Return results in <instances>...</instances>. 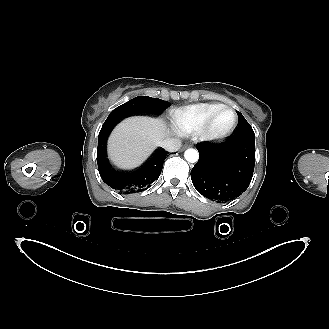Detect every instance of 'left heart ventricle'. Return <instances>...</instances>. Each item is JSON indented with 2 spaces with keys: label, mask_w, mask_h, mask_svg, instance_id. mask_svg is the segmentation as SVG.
<instances>
[{
  "label": "left heart ventricle",
  "mask_w": 329,
  "mask_h": 329,
  "mask_svg": "<svg viewBox=\"0 0 329 329\" xmlns=\"http://www.w3.org/2000/svg\"><path fill=\"white\" fill-rule=\"evenodd\" d=\"M234 122V114L230 110L221 112L215 119L212 131L214 133H223L230 129Z\"/></svg>",
  "instance_id": "1"
}]
</instances>
